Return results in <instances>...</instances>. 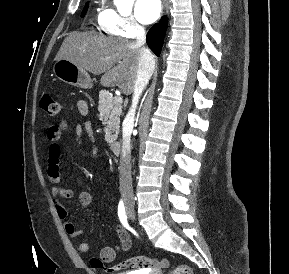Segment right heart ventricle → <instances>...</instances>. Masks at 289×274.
<instances>
[{"instance_id":"right-heart-ventricle-1","label":"right heart ventricle","mask_w":289,"mask_h":274,"mask_svg":"<svg viewBox=\"0 0 289 274\" xmlns=\"http://www.w3.org/2000/svg\"><path fill=\"white\" fill-rule=\"evenodd\" d=\"M104 13H105V9L99 11L98 14H97V21H98L100 26H101V23H102V19H103ZM101 28H102V26H101Z\"/></svg>"}]
</instances>
